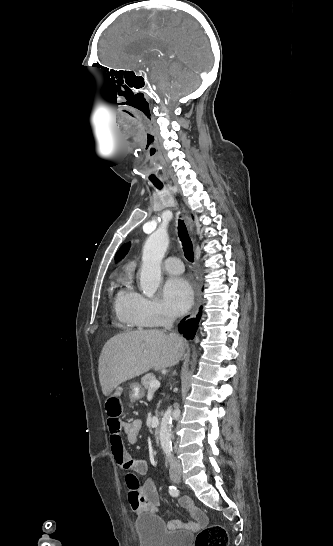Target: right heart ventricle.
I'll list each match as a JSON object with an SVG mask.
<instances>
[{
	"mask_svg": "<svg viewBox=\"0 0 333 546\" xmlns=\"http://www.w3.org/2000/svg\"><path fill=\"white\" fill-rule=\"evenodd\" d=\"M135 291L131 286L129 278H124L113 297V310L116 319L124 324L126 328L133 329L141 326V323L131 312V302Z\"/></svg>",
	"mask_w": 333,
	"mask_h": 546,
	"instance_id": "obj_1",
	"label": "right heart ventricle"
}]
</instances>
